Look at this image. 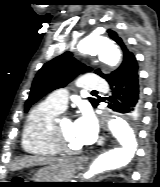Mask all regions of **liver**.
<instances>
[{
    "label": "liver",
    "mask_w": 160,
    "mask_h": 187,
    "mask_svg": "<svg viewBox=\"0 0 160 187\" xmlns=\"http://www.w3.org/2000/svg\"><path fill=\"white\" fill-rule=\"evenodd\" d=\"M57 160L59 159L58 158H44V157H38V156H27V157L17 160L12 166V171H16V170L23 169L26 167H31V166L48 165V164H52L53 162Z\"/></svg>",
    "instance_id": "6515ba94"
}]
</instances>
